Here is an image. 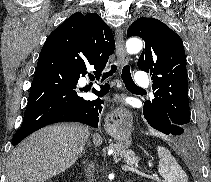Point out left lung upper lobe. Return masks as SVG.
Returning <instances> with one entry per match:
<instances>
[{
  "mask_svg": "<svg viewBox=\"0 0 211 182\" xmlns=\"http://www.w3.org/2000/svg\"><path fill=\"white\" fill-rule=\"evenodd\" d=\"M145 42L138 67L150 72L154 99L144 103L143 114L155 129L163 119L188 127L190 122L186 56L181 38L155 18H139L127 30Z\"/></svg>",
  "mask_w": 211,
  "mask_h": 182,
  "instance_id": "5c2ea615",
  "label": "left lung upper lobe"
}]
</instances>
